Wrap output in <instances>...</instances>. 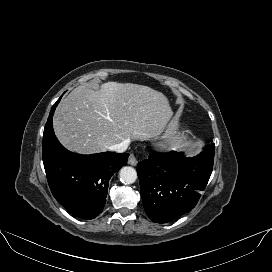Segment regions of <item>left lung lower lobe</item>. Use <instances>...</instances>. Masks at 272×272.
<instances>
[{"instance_id":"left-lung-lower-lobe-1","label":"left lung lower lobe","mask_w":272,"mask_h":272,"mask_svg":"<svg viewBox=\"0 0 272 272\" xmlns=\"http://www.w3.org/2000/svg\"><path fill=\"white\" fill-rule=\"evenodd\" d=\"M214 151L212 143L193 158L153 152L138 163L143 206L153 222H170L195 207L211 176Z\"/></svg>"}]
</instances>
